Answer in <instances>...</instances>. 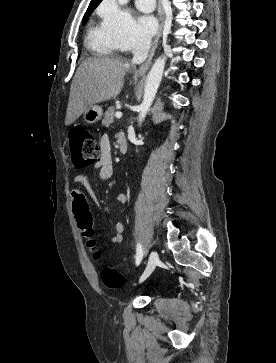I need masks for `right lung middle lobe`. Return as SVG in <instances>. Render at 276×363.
<instances>
[{
    "mask_svg": "<svg viewBox=\"0 0 276 363\" xmlns=\"http://www.w3.org/2000/svg\"><path fill=\"white\" fill-rule=\"evenodd\" d=\"M95 9V6H92V7H89L83 17V25L86 24V22L88 21L89 19V16L92 14V12L94 11Z\"/></svg>",
    "mask_w": 276,
    "mask_h": 363,
    "instance_id": "1",
    "label": "right lung middle lobe"
}]
</instances>
